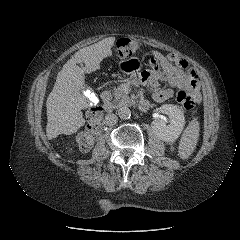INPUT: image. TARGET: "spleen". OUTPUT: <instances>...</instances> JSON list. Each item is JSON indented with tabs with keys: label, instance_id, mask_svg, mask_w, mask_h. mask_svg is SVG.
Segmentation results:
<instances>
[{
	"label": "spleen",
	"instance_id": "obj_1",
	"mask_svg": "<svg viewBox=\"0 0 240 240\" xmlns=\"http://www.w3.org/2000/svg\"><path fill=\"white\" fill-rule=\"evenodd\" d=\"M199 130V122L194 119L184 131L178 147V155L182 159H187L194 151L199 138Z\"/></svg>",
	"mask_w": 240,
	"mask_h": 240
}]
</instances>
